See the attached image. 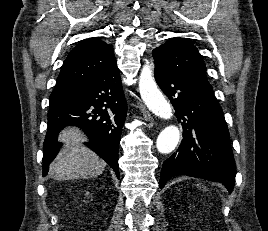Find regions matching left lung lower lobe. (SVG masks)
<instances>
[{"mask_svg": "<svg viewBox=\"0 0 268 231\" xmlns=\"http://www.w3.org/2000/svg\"><path fill=\"white\" fill-rule=\"evenodd\" d=\"M155 79L183 129L178 150L164 161L160 187L173 176L219 181L231 193L235 163L223 111L213 90L155 63Z\"/></svg>", "mask_w": 268, "mask_h": 231, "instance_id": "0a47b994", "label": "left lung lower lobe"}]
</instances>
